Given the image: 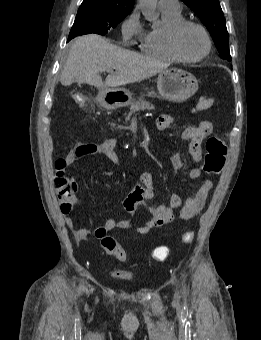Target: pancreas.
Masks as SVG:
<instances>
[{
    "mask_svg": "<svg viewBox=\"0 0 261 340\" xmlns=\"http://www.w3.org/2000/svg\"><path fill=\"white\" fill-rule=\"evenodd\" d=\"M154 106L141 97L138 101H134L130 105V112L127 114L126 121L130 119L131 115L140 110H152Z\"/></svg>",
    "mask_w": 261,
    "mask_h": 340,
    "instance_id": "cf45deb5",
    "label": "pancreas"
}]
</instances>
